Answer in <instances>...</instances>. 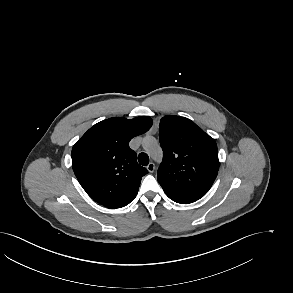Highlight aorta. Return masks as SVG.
I'll use <instances>...</instances> for the list:
<instances>
[{
    "label": "aorta",
    "mask_w": 293,
    "mask_h": 293,
    "mask_svg": "<svg viewBox=\"0 0 293 293\" xmlns=\"http://www.w3.org/2000/svg\"><path fill=\"white\" fill-rule=\"evenodd\" d=\"M144 145L147 148L150 147V146L155 147L156 146V142H155V140L153 138L148 137V138L145 139Z\"/></svg>",
    "instance_id": "aorta-1"
}]
</instances>
